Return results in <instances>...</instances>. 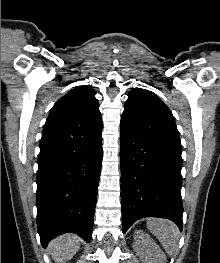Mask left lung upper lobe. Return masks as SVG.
Returning <instances> with one entry per match:
<instances>
[{
    "label": "left lung upper lobe",
    "instance_id": "1",
    "mask_svg": "<svg viewBox=\"0 0 220 263\" xmlns=\"http://www.w3.org/2000/svg\"><path fill=\"white\" fill-rule=\"evenodd\" d=\"M121 124L182 149L172 112L149 90L135 88L129 92Z\"/></svg>",
    "mask_w": 220,
    "mask_h": 263
}]
</instances>
